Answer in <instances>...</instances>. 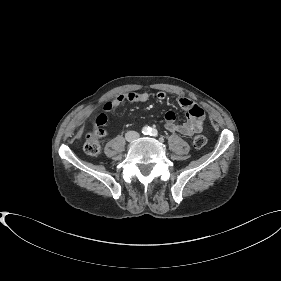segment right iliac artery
Masks as SVG:
<instances>
[{"label": "right iliac artery", "instance_id": "1", "mask_svg": "<svg viewBox=\"0 0 281 281\" xmlns=\"http://www.w3.org/2000/svg\"><path fill=\"white\" fill-rule=\"evenodd\" d=\"M150 131H151L150 127H147V126L143 127V129H142V133L144 135L150 134Z\"/></svg>", "mask_w": 281, "mask_h": 281}]
</instances>
